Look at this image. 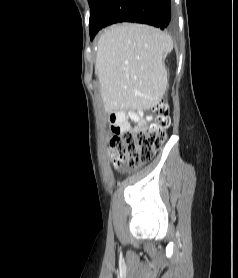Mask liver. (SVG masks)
Segmentation results:
<instances>
[{
    "instance_id": "1",
    "label": "liver",
    "mask_w": 238,
    "mask_h": 278,
    "mask_svg": "<svg viewBox=\"0 0 238 278\" xmlns=\"http://www.w3.org/2000/svg\"><path fill=\"white\" fill-rule=\"evenodd\" d=\"M172 49V38L148 25L123 23L105 30L95 62L105 111L155 107L166 90L164 59Z\"/></svg>"
}]
</instances>
